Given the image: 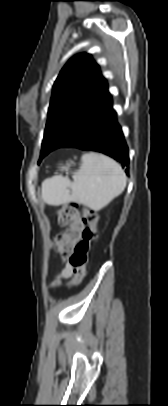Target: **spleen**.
Segmentation results:
<instances>
[{
	"label": "spleen",
	"instance_id": "spleen-1",
	"mask_svg": "<svg viewBox=\"0 0 168 406\" xmlns=\"http://www.w3.org/2000/svg\"><path fill=\"white\" fill-rule=\"evenodd\" d=\"M72 179L56 175L44 180L43 200L56 206L76 202L99 211L123 192L127 180L119 163L94 152L81 157L80 168L73 173Z\"/></svg>",
	"mask_w": 168,
	"mask_h": 406
}]
</instances>
